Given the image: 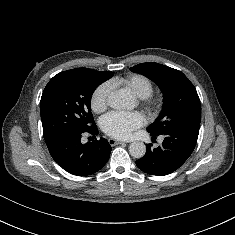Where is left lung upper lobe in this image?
Returning a JSON list of instances; mask_svg holds the SVG:
<instances>
[{
	"mask_svg": "<svg viewBox=\"0 0 235 235\" xmlns=\"http://www.w3.org/2000/svg\"><path fill=\"white\" fill-rule=\"evenodd\" d=\"M154 81L162 90L164 103L148 132L160 135L178 129L199 131L200 99L195 87L180 71L158 63H141L130 68Z\"/></svg>",
	"mask_w": 235,
	"mask_h": 235,
	"instance_id": "left-lung-upper-lobe-1",
	"label": "left lung upper lobe"
}]
</instances>
